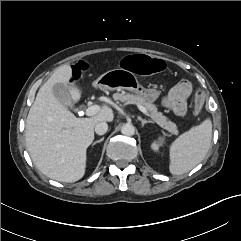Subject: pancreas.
<instances>
[{
	"mask_svg": "<svg viewBox=\"0 0 241 241\" xmlns=\"http://www.w3.org/2000/svg\"><path fill=\"white\" fill-rule=\"evenodd\" d=\"M113 98L121 102H129L145 107L151 119L156 122L160 127L164 128L172 134H178L176 124L169 121L168 118L163 116L161 112H158L156 106L153 104L152 101L147 100L142 96L126 94L125 92L115 93L113 95Z\"/></svg>",
	"mask_w": 241,
	"mask_h": 241,
	"instance_id": "cf45deb5",
	"label": "pancreas"
}]
</instances>
